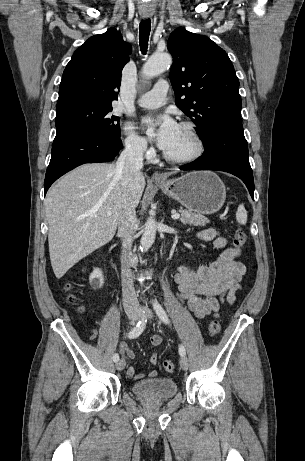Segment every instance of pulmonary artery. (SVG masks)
<instances>
[{
    "label": "pulmonary artery",
    "mask_w": 305,
    "mask_h": 461,
    "mask_svg": "<svg viewBox=\"0 0 305 461\" xmlns=\"http://www.w3.org/2000/svg\"><path fill=\"white\" fill-rule=\"evenodd\" d=\"M168 82L166 80L158 81L152 90L144 93L138 100V104L144 108H157L162 106L166 101L168 92Z\"/></svg>",
    "instance_id": "e3ab8cb5"
}]
</instances>
